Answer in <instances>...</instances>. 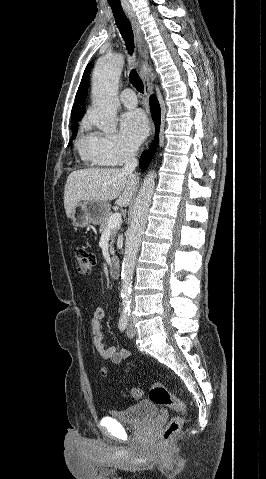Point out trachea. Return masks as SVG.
<instances>
[{"mask_svg":"<svg viewBox=\"0 0 266 479\" xmlns=\"http://www.w3.org/2000/svg\"><path fill=\"white\" fill-rule=\"evenodd\" d=\"M112 12L116 25L125 41L126 49L128 50V53L132 55L134 52V35L131 24L122 9L112 8ZM129 80L138 92L142 93L144 91L143 82L141 81L136 69L131 70Z\"/></svg>","mask_w":266,"mask_h":479,"instance_id":"3493384b","label":"trachea"}]
</instances>
